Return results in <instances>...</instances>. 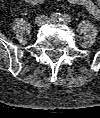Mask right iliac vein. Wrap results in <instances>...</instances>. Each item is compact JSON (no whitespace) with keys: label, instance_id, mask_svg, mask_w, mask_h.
I'll use <instances>...</instances> for the list:
<instances>
[{"label":"right iliac vein","instance_id":"1","mask_svg":"<svg viewBox=\"0 0 100 118\" xmlns=\"http://www.w3.org/2000/svg\"><path fill=\"white\" fill-rule=\"evenodd\" d=\"M45 22V18L44 17H38L37 19H36V23L38 24V25H41V24H43Z\"/></svg>","mask_w":100,"mask_h":118}]
</instances>
